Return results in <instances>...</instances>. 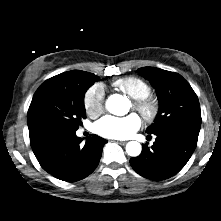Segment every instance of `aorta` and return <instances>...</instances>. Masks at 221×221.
Returning a JSON list of instances; mask_svg holds the SVG:
<instances>
[{
  "instance_id": "762f6f07",
  "label": "aorta",
  "mask_w": 221,
  "mask_h": 221,
  "mask_svg": "<svg viewBox=\"0 0 221 221\" xmlns=\"http://www.w3.org/2000/svg\"><path fill=\"white\" fill-rule=\"evenodd\" d=\"M127 106L128 100L119 94L111 95L106 101V108L113 114H121L119 111L120 106ZM141 144L137 141H130L126 145V152L129 156L136 157L141 153Z\"/></svg>"
}]
</instances>
